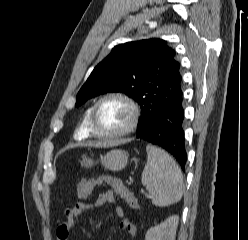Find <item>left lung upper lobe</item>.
<instances>
[{
  "label": "left lung upper lobe",
  "instance_id": "obj_1",
  "mask_svg": "<svg viewBox=\"0 0 248 240\" xmlns=\"http://www.w3.org/2000/svg\"><path fill=\"white\" fill-rule=\"evenodd\" d=\"M162 39L115 46L92 71L76 97L75 106L107 92H123L138 102L141 132L166 104L182 96L180 63Z\"/></svg>",
  "mask_w": 248,
  "mask_h": 240
}]
</instances>
